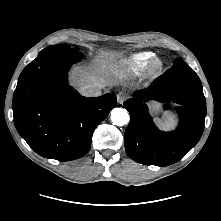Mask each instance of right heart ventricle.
I'll use <instances>...</instances> for the list:
<instances>
[{
  "instance_id": "1",
  "label": "right heart ventricle",
  "mask_w": 221,
  "mask_h": 221,
  "mask_svg": "<svg viewBox=\"0 0 221 221\" xmlns=\"http://www.w3.org/2000/svg\"><path fill=\"white\" fill-rule=\"evenodd\" d=\"M153 54L148 51H140L129 55L122 61L123 68L132 73H137L149 64Z\"/></svg>"
}]
</instances>
